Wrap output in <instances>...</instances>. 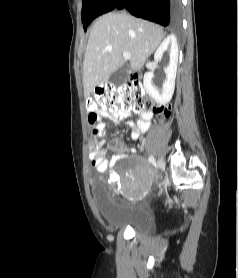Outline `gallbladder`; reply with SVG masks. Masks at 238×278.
Segmentation results:
<instances>
[{
  "mask_svg": "<svg viewBox=\"0 0 238 278\" xmlns=\"http://www.w3.org/2000/svg\"><path fill=\"white\" fill-rule=\"evenodd\" d=\"M127 70V64H123L119 69L111 74L109 82L115 86L122 85L126 81Z\"/></svg>",
  "mask_w": 238,
  "mask_h": 278,
  "instance_id": "1",
  "label": "gallbladder"
}]
</instances>
